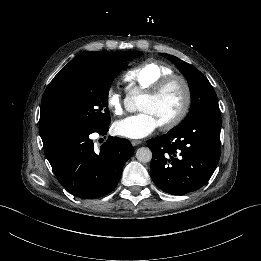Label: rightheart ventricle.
<instances>
[{"mask_svg":"<svg viewBox=\"0 0 261 261\" xmlns=\"http://www.w3.org/2000/svg\"><path fill=\"white\" fill-rule=\"evenodd\" d=\"M172 74H174L173 69L166 63L148 59L128 70L124 74V79L128 83V91L139 90L147 93L158 81Z\"/></svg>","mask_w":261,"mask_h":261,"instance_id":"1","label":"right heart ventricle"}]
</instances>
